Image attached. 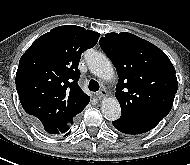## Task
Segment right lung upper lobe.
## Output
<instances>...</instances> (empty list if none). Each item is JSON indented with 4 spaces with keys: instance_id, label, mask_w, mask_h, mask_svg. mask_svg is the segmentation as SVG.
Returning a JSON list of instances; mask_svg holds the SVG:
<instances>
[{
    "instance_id": "obj_1",
    "label": "right lung upper lobe",
    "mask_w": 190,
    "mask_h": 165,
    "mask_svg": "<svg viewBox=\"0 0 190 165\" xmlns=\"http://www.w3.org/2000/svg\"><path fill=\"white\" fill-rule=\"evenodd\" d=\"M99 37L80 26H59L35 40L22 55L16 73L19 99L47 133L68 135L89 103L78 85V64L81 54L95 46Z\"/></svg>"
}]
</instances>
